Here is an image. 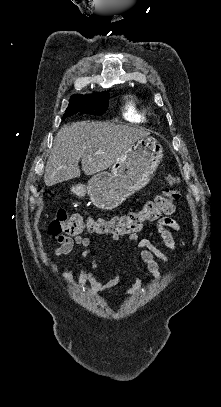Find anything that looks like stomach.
Listing matches in <instances>:
<instances>
[{
	"label": "stomach",
	"mask_w": 221,
	"mask_h": 407,
	"mask_svg": "<svg viewBox=\"0 0 221 407\" xmlns=\"http://www.w3.org/2000/svg\"><path fill=\"white\" fill-rule=\"evenodd\" d=\"M162 158L163 147L159 141L144 136L113 163L110 172H98L87 186L76 184L71 191L79 198L88 194L97 208L111 210L150 182Z\"/></svg>",
	"instance_id": "0dacf381"
}]
</instances>
